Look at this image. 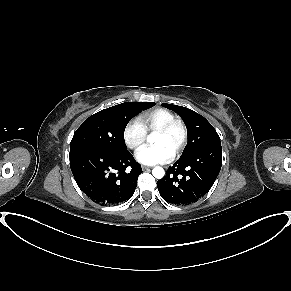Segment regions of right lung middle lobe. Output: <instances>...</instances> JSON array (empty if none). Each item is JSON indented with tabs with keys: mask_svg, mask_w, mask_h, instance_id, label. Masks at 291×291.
I'll list each match as a JSON object with an SVG mask.
<instances>
[{
	"mask_svg": "<svg viewBox=\"0 0 291 291\" xmlns=\"http://www.w3.org/2000/svg\"><path fill=\"white\" fill-rule=\"evenodd\" d=\"M154 105L152 102H125L95 113L74 133L70 153L82 150L126 151L124 130L127 123L137 113Z\"/></svg>",
	"mask_w": 291,
	"mask_h": 291,
	"instance_id": "dd1d6c3e",
	"label": "right lung middle lobe"
}]
</instances>
